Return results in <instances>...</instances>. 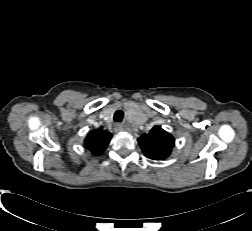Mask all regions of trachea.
Returning a JSON list of instances; mask_svg holds the SVG:
<instances>
[{
  "mask_svg": "<svg viewBox=\"0 0 252 231\" xmlns=\"http://www.w3.org/2000/svg\"><path fill=\"white\" fill-rule=\"evenodd\" d=\"M124 113L122 110H117L114 114V121L121 122L123 119Z\"/></svg>",
  "mask_w": 252,
  "mask_h": 231,
  "instance_id": "3493384b",
  "label": "trachea"
}]
</instances>
